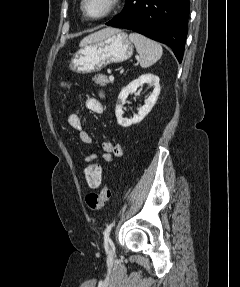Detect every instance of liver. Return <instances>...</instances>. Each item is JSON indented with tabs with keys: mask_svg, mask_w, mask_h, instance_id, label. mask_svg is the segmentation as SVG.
Here are the masks:
<instances>
[{
	"mask_svg": "<svg viewBox=\"0 0 240 287\" xmlns=\"http://www.w3.org/2000/svg\"><path fill=\"white\" fill-rule=\"evenodd\" d=\"M112 29L113 28L108 27V28H104L100 31H97L95 33H92V34L86 36L85 38H83L82 41L80 42V45H83V44L88 43L90 41L99 39V38L105 36L106 34H108Z\"/></svg>",
	"mask_w": 240,
	"mask_h": 287,
	"instance_id": "1",
	"label": "liver"
}]
</instances>
